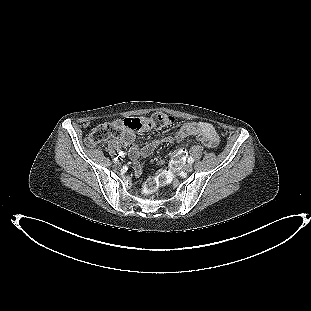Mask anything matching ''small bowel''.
Instances as JSON below:
<instances>
[{
    "instance_id": "small-bowel-1",
    "label": "small bowel",
    "mask_w": 311,
    "mask_h": 311,
    "mask_svg": "<svg viewBox=\"0 0 311 311\" xmlns=\"http://www.w3.org/2000/svg\"><path fill=\"white\" fill-rule=\"evenodd\" d=\"M189 137L199 138L208 148H214L219 142V137L215 128L208 122H188L181 125L173 136L164 137L161 139H153L149 141L144 147L139 148L134 144L135 135L130 130H123L120 136L121 142L129 147V157L133 162V171L135 176H140L142 173L141 167L136 163L142 157L150 156L154 150L162 142H181ZM185 156L184 151L176 153V159H182Z\"/></svg>"
}]
</instances>
